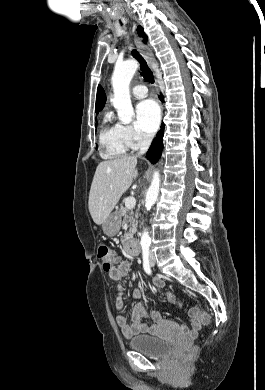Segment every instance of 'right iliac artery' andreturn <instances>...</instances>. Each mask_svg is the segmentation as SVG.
<instances>
[{
  "label": "right iliac artery",
  "mask_w": 265,
  "mask_h": 390,
  "mask_svg": "<svg viewBox=\"0 0 265 390\" xmlns=\"http://www.w3.org/2000/svg\"><path fill=\"white\" fill-rule=\"evenodd\" d=\"M143 268L148 275L152 274V270L149 264V248L143 247Z\"/></svg>",
  "instance_id": "obj_1"
}]
</instances>
